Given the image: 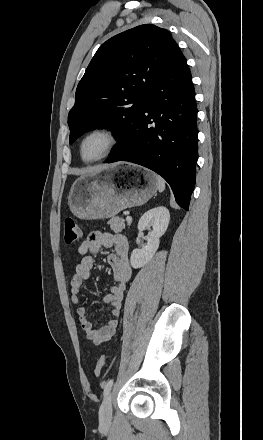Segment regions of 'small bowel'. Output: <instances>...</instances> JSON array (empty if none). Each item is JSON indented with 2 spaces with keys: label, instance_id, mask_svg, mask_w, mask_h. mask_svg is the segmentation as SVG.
Masks as SVG:
<instances>
[{
  "label": "small bowel",
  "instance_id": "1",
  "mask_svg": "<svg viewBox=\"0 0 263 440\" xmlns=\"http://www.w3.org/2000/svg\"><path fill=\"white\" fill-rule=\"evenodd\" d=\"M103 248H113V252L107 257V262L112 270L114 284L109 293L103 297L104 303L110 306L112 318L107 324L97 328L90 320L86 307L79 306L76 310L86 337L96 345L114 336L121 314L123 295L132 273L128 259L127 239L120 234L94 231L81 242L78 248L83 257L76 265L71 279L72 303H80L82 286L89 279L95 266L93 256L99 254Z\"/></svg>",
  "mask_w": 263,
  "mask_h": 440
}]
</instances>
